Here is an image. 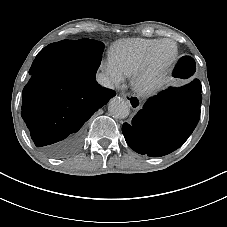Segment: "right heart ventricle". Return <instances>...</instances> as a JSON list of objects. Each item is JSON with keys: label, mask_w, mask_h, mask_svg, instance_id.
<instances>
[{"label": "right heart ventricle", "mask_w": 227, "mask_h": 227, "mask_svg": "<svg viewBox=\"0 0 227 227\" xmlns=\"http://www.w3.org/2000/svg\"><path fill=\"white\" fill-rule=\"evenodd\" d=\"M161 39L129 38L117 41L111 51L110 60L130 74Z\"/></svg>", "instance_id": "right-heart-ventricle-1"}]
</instances>
